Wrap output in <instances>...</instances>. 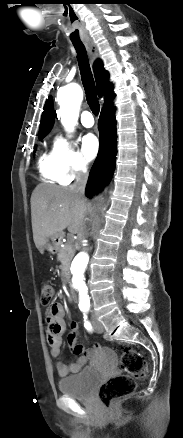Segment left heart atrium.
Returning <instances> with one entry per match:
<instances>
[{
    "label": "left heart atrium",
    "mask_w": 183,
    "mask_h": 438,
    "mask_svg": "<svg viewBox=\"0 0 183 438\" xmlns=\"http://www.w3.org/2000/svg\"><path fill=\"white\" fill-rule=\"evenodd\" d=\"M99 147L98 138L94 134L89 133L83 138V153L88 160H92L97 156Z\"/></svg>",
    "instance_id": "left-heart-atrium-1"
}]
</instances>
